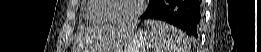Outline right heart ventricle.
I'll return each mask as SVG.
<instances>
[{
    "mask_svg": "<svg viewBox=\"0 0 261 52\" xmlns=\"http://www.w3.org/2000/svg\"><path fill=\"white\" fill-rule=\"evenodd\" d=\"M104 0H88L83 8L87 22L92 24H110L108 17L103 12Z\"/></svg>",
    "mask_w": 261,
    "mask_h": 52,
    "instance_id": "right-heart-ventricle-1",
    "label": "right heart ventricle"
}]
</instances>
